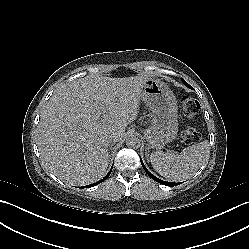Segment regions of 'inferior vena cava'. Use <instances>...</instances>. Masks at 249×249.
<instances>
[{
	"label": "inferior vena cava",
	"mask_w": 249,
	"mask_h": 249,
	"mask_svg": "<svg viewBox=\"0 0 249 249\" xmlns=\"http://www.w3.org/2000/svg\"><path fill=\"white\" fill-rule=\"evenodd\" d=\"M120 138L117 136V135H113V136H110L109 137V142L112 143V142H117L119 141Z\"/></svg>",
	"instance_id": "obj_1"
}]
</instances>
